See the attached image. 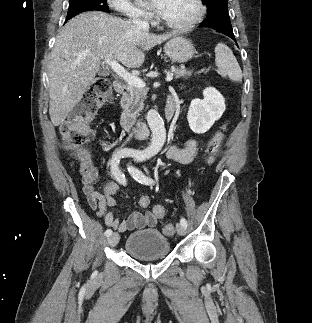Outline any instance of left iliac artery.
<instances>
[{"mask_svg":"<svg viewBox=\"0 0 312 323\" xmlns=\"http://www.w3.org/2000/svg\"><path fill=\"white\" fill-rule=\"evenodd\" d=\"M128 171L130 172V174L133 176V178L135 180H137L139 183L141 184H146V185H151L154 184V181L151 178H148L147 176H145L141 171H139L138 169H135L133 167H129ZM180 223L186 228L187 227V221L185 218H182Z\"/></svg>","mask_w":312,"mask_h":323,"instance_id":"44dca946","label":"left iliac artery"}]
</instances>
